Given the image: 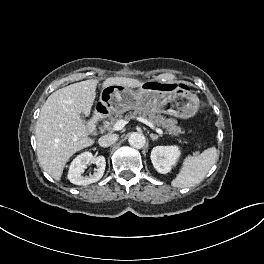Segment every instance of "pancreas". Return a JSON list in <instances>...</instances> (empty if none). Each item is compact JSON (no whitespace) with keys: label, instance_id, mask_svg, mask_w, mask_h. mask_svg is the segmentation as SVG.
<instances>
[{"label":"pancreas","instance_id":"1","mask_svg":"<svg viewBox=\"0 0 264 264\" xmlns=\"http://www.w3.org/2000/svg\"><path fill=\"white\" fill-rule=\"evenodd\" d=\"M136 116L141 117L145 120H147L152 125L162 127L166 130V132L169 135L173 136H179L183 133L181 128L177 125V121L172 118H165L161 114H155V113H148V112H142L140 110H135L133 112H130L128 115L124 116L125 120H130L135 118ZM123 116L121 114H116L114 116H110L108 120L103 121V130H113V126L116 124L117 121L121 120ZM194 154H197L195 152Z\"/></svg>","mask_w":264,"mask_h":264}]
</instances>
